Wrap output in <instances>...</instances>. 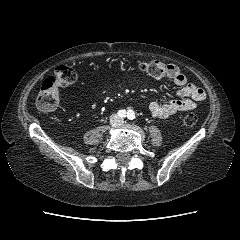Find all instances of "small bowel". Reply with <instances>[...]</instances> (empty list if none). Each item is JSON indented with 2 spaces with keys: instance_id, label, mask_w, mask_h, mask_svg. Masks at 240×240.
<instances>
[{
  "instance_id": "small-bowel-1",
  "label": "small bowel",
  "mask_w": 240,
  "mask_h": 240,
  "mask_svg": "<svg viewBox=\"0 0 240 240\" xmlns=\"http://www.w3.org/2000/svg\"><path fill=\"white\" fill-rule=\"evenodd\" d=\"M167 76L180 88L176 93L177 99L164 103L151 102L149 110L153 117L166 119L179 112L193 110L204 101L206 97L204 90L193 83H189L186 76L181 73L176 65L168 64Z\"/></svg>"
}]
</instances>
